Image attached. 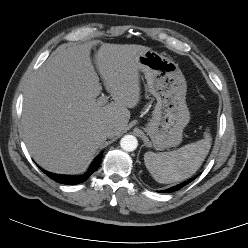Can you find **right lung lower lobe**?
Masks as SVG:
<instances>
[{
  "instance_id": "obj_1",
  "label": "right lung lower lobe",
  "mask_w": 248,
  "mask_h": 248,
  "mask_svg": "<svg viewBox=\"0 0 248 248\" xmlns=\"http://www.w3.org/2000/svg\"><path fill=\"white\" fill-rule=\"evenodd\" d=\"M103 152H101L92 162L91 166L89 167L88 171L85 172L82 175L78 176H70V175H59L54 174L48 171H44L41 169L46 175H48L51 179L54 181L61 183V184H67V185H75L82 183L86 181L99 167L101 160H102Z\"/></svg>"
}]
</instances>
